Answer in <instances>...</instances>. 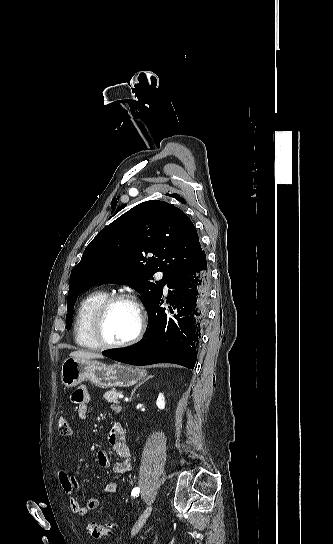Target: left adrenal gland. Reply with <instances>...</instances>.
Returning a JSON list of instances; mask_svg holds the SVG:
<instances>
[{
    "instance_id": "obj_1",
    "label": "left adrenal gland",
    "mask_w": 333,
    "mask_h": 544,
    "mask_svg": "<svg viewBox=\"0 0 333 544\" xmlns=\"http://www.w3.org/2000/svg\"><path fill=\"white\" fill-rule=\"evenodd\" d=\"M150 378H152V376H148V378H146V380H144V381H142L141 383H139V384L133 389V391H132V393H131V396H130V400L132 399V397H133L135 391L137 390V388H138L139 386H141L144 382H146L147 380H149Z\"/></svg>"
}]
</instances>
